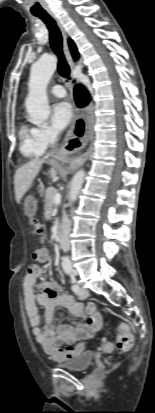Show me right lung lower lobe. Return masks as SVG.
<instances>
[{"instance_id":"obj_1","label":"right lung lower lobe","mask_w":155,"mask_h":413,"mask_svg":"<svg viewBox=\"0 0 155 413\" xmlns=\"http://www.w3.org/2000/svg\"><path fill=\"white\" fill-rule=\"evenodd\" d=\"M74 97L78 107H83L89 102V95L81 85H76L74 89Z\"/></svg>"}]
</instances>
